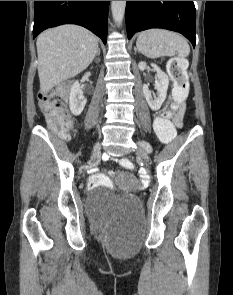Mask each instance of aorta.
<instances>
[{
	"label": "aorta",
	"mask_w": 233,
	"mask_h": 295,
	"mask_svg": "<svg viewBox=\"0 0 233 295\" xmlns=\"http://www.w3.org/2000/svg\"><path fill=\"white\" fill-rule=\"evenodd\" d=\"M127 1H111V10L114 21L120 25L123 21Z\"/></svg>",
	"instance_id": "1"
}]
</instances>
